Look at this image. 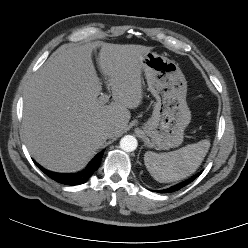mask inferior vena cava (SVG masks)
<instances>
[{"label":"inferior vena cava","instance_id":"obj_1","mask_svg":"<svg viewBox=\"0 0 248 248\" xmlns=\"http://www.w3.org/2000/svg\"><path fill=\"white\" fill-rule=\"evenodd\" d=\"M116 133V129L115 127L113 126H107L105 129H104V134L107 138H112L114 137Z\"/></svg>","mask_w":248,"mask_h":248}]
</instances>
